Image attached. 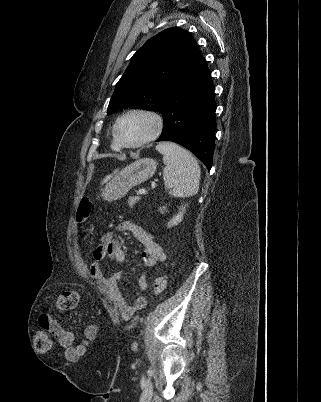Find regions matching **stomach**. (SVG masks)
<instances>
[{
	"mask_svg": "<svg viewBox=\"0 0 321 402\" xmlns=\"http://www.w3.org/2000/svg\"><path fill=\"white\" fill-rule=\"evenodd\" d=\"M156 167L154 159H138L106 181L101 197L109 202L124 197L132 187L152 177Z\"/></svg>",
	"mask_w": 321,
	"mask_h": 402,
	"instance_id": "stomach-1",
	"label": "stomach"
}]
</instances>
